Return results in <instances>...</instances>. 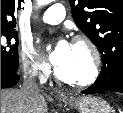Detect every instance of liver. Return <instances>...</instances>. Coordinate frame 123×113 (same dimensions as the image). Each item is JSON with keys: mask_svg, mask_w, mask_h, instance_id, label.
I'll use <instances>...</instances> for the list:
<instances>
[{"mask_svg": "<svg viewBox=\"0 0 123 113\" xmlns=\"http://www.w3.org/2000/svg\"><path fill=\"white\" fill-rule=\"evenodd\" d=\"M42 95L27 96L19 89L1 90V113H47Z\"/></svg>", "mask_w": 123, "mask_h": 113, "instance_id": "1", "label": "liver"}]
</instances>
